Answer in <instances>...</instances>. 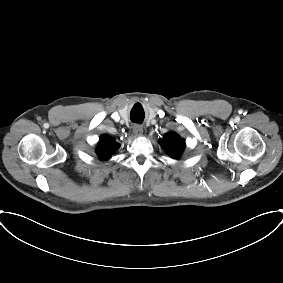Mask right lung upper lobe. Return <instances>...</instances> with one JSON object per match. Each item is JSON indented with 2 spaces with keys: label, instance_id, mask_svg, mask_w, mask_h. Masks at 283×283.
<instances>
[{
  "label": "right lung upper lobe",
  "instance_id": "obj_1",
  "mask_svg": "<svg viewBox=\"0 0 283 283\" xmlns=\"http://www.w3.org/2000/svg\"><path fill=\"white\" fill-rule=\"evenodd\" d=\"M118 143L107 135H103L99 141V148L97 153L101 159H109L111 155L118 149Z\"/></svg>",
  "mask_w": 283,
  "mask_h": 283
}]
</instances>
